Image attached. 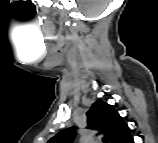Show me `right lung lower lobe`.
<instances>
[{"label": "right lung lower lobe", "mask_w": 158, "mask_h": 143, "mask_svg": "<svg viewBox=\"0 0 158 143\" xmlns=\"http://www.w3.org/2000/svg\"><path fill=\"white\" fill-rule=\"evenodd\" d=\"M127 143H134L133 138H131Z\"/></svg>", "instance_id": "1"}]
</instances>
